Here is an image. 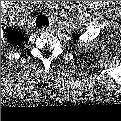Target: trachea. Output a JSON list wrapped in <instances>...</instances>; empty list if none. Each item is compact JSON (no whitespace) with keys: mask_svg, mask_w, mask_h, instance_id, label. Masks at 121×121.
<instances>
[{"mask_svg":"<svg viewBox=\"0 0 121 121\" xmlns=\"http://www.w3.org/2000/svg\"><path fill=\"white\" fill-rule=\"evenodd\" d=\"M36 25H37V27L48 26L49 25L48 18L45 15H39L36 18Z\"/></svg>","mask_w":121,"mask_h":121,"instance_id":"trachea-1","label":"trachea"}]
</instances>
